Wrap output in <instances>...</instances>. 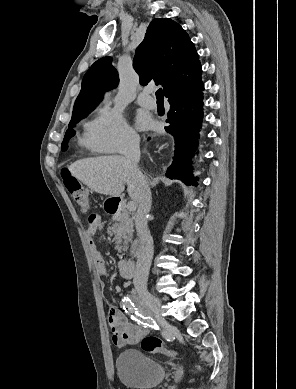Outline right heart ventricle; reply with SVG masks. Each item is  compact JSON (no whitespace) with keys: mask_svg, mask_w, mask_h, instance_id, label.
I'll return each mask as SVG.
<instances>
[{"mask_svg":"<svg viewBox=\"0 0 296 389\" xmlns=\"http://www.w3.org/2000/svg\"><path fill=\"white\" fill-rule=\"evenodd\" d=\"M80 143L92 150H98L93 139V121L86 122L83 126V133L80 137ZM99 151V150H98Z\"/></svg>","mask_w":296,"mask_h":389,"instance_id":"obj_1","label":"right heart ventricle"}]
</instances>
